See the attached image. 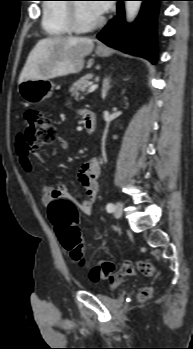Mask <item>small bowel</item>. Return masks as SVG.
Here are the masks:
<instances>
[{"label": "small bowel", "instance_id": "c3829d8e", "mask_svg": "<svg viewBox=\"0 0 193 349\" xmlns=\"http://www.w3.org/2000/svg\"><path fill=\"white\" fill-rule=\"evenodd\" d=\"M58 144L63 150L68 149V142L65 139L58 138ZM16 152L22 168L26 172H32L33 163L22 134L18 135L16 141ZM100 169V162L96 157L89 159L83 164L79 173V181L83 186L85 194V199L83 201L77 202L69 188L65 184H59L56 188L45 189L43 203L49 205L56 199H67L77 203L83 214L91 216L93 214L94 203L98 192V177L100 175ZM134 274L135 268L132 261L125 260L121 267L110 276L109 282L112 285H117L125 277Z\"/></svg>", "mask_w": 193, "mask_h": 349}]
</instances>
